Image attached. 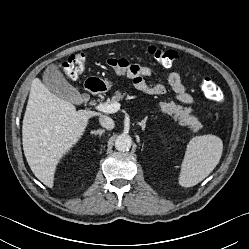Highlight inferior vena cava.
<instances>
[{"instance_id": "obj_1", "label": "inferior vena cava", "mask_w": 249, "mask_h": 249, "mask_svg": "<svg viewBox=\"0 0 249 249\" xmlns=\"http://www.w3.org/2000/svg\"><path fill=\"white\" fill-rule=\"evenodd\" d=\"M99 122L102 127L106 128L107 130H112L114 128V121L105 115H101L99 118Z\"/></svg>"}]
</instances>
